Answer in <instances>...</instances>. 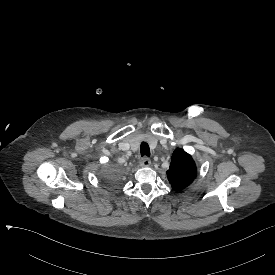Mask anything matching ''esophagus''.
<instances>
[{
  "label": "esophagus",
  "instance_id": "34e87169",
  "mask_svg": "<svg viewBox=\"0 0 275 275\" xmlns=\"http://www.w3.org/2000/svg\"><path fill=\"white\" fill-rule=\"evenodd\" d=\"M139 164L141 167H148L151 165V161L148 157H142V159L139 161Z\"/></svg>",
  "mask_w": 275,
  "mask_h": 275
}]
</instances>
